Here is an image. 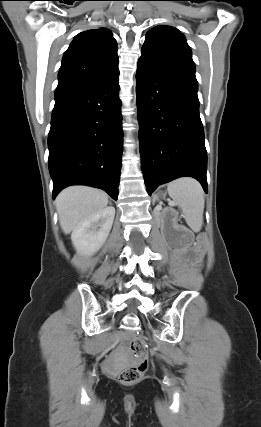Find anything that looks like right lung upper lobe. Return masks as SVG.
Here are the masks:
<instances>
[{
  "label": "right lung upper lobe",
  "mask_w": 261,
  "mask_h": 427,
  "mask_svg": "<svg viewBox=\"0 0 261 427\" xmlns=\"http://www.w3.org/2000/svg\"><path fill=\"white\" fill-rule=\"evenodd\" d=\"M117 50V42L106 28L76 35L64 54L55 97L119 72Z\"/></svg>",
  "instance_id": "1"
}]
</instances>
